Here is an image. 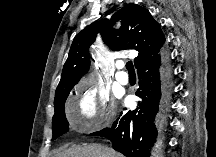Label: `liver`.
I'll list each match as a JSON object with an SVG mask.
<instances>
[{
	"mask_svg": "<svg viewBox=\"0 0 216 157\" xmlns=\"http://www.w3.org/2000/svg\"><path fill=\"white\" fill-rule=\"evenodd\" d=\"M55 157H120V154L110 147L100 144H90L70 147L56 153Z\"/></svg>",
	"mask_w": 216,
	"mask_h": 157,
	"instance_id": "liver-1",
	"label": "liver"
}]
</instances>
